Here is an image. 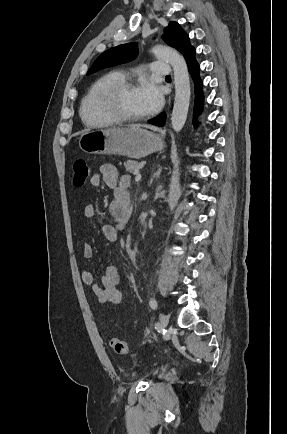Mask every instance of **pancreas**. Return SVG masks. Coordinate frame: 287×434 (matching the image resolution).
I'll use <instances>...</instances> for the list:
<instances>
[{
    "label": "pancreas",
    "instance_id": "pancreas-1",
    "mask_svg": "<svg viewBox=\"0 0 287 434\" xmlns=\"http://www.w3.org/2000/svg\"><path fill=\"white\" fill-rule=\"evenodd\" d=\"M124 166L127 172L130 174H135L144 166V163L128 160L124 163Z\"/></svg>",
    "mask_w": 287,
    "mask_h": 434
}]
</instances>
